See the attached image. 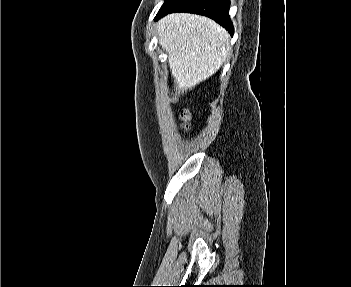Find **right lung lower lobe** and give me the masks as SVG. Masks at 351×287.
I'll list each match as a JSON object with an SVG mask.
<instances>
[{"mask_svg": "<svg viewBox=\"0 0 351 287\" xmlns=\"http://www.w3.org/2000/svg\"><path fill=\"white\" fill-rule=\"evenodd\" d=\"M229 5V0H165L155 20L171 12H189L213 19L233 35Z\"/></svg>", "mask_w": 351, "mask_h": 287, "instance_id": "obj_1", "label": "right lung lower lobe"}]
</instances>
